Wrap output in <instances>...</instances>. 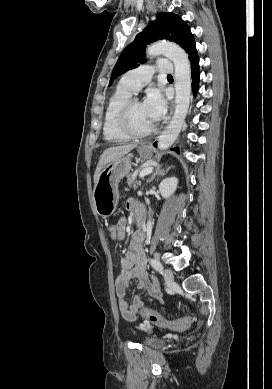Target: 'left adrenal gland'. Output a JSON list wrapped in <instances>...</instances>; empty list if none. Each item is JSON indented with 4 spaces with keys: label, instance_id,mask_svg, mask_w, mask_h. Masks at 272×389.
Masks as SVG:
<instances>
[{
    "label": "left adrenal gland",
    "instance_id": "left-adrenal-gland-1",
    "mask_svg": "<svg viewBox=\"0 0 272 389\" xmlns=\"http://www.w3.org/2000/svg\"><path fill=\"white\" fill-rule=\"evenodd\" d=\"M169 169H162V165H159L155 168L154 173L152 174L151 178L147 181L148 183L152 182L156 176H163L168 172Z\"/></svg>",
    "mask_w": 272,
    "mask_h": 389
}]
</instances>
